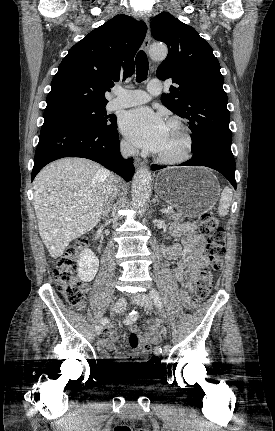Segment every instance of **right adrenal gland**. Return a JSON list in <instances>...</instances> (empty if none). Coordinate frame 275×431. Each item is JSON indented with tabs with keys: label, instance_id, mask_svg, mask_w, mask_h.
Wrapping results in <instances>:
<instances>
[{
	"label": "right adrenal gland",
	"instance_id": "right-adrenal-gland-1",
	"mask_svg": "<svg viewBox=\"0 0 275 431\" xmlns=\"http://www.w3.org/2000/svg\"><path fill=\"white\" fill-rule=\"evenodd\" d=\"M110 210V204L108 203L107 206L105 207L104 211L102 212L101 217L105 218V216L109 213Z\"/></svg>",
	"mask_w": 275,
	"mask_h": 431
}]
</instances>
